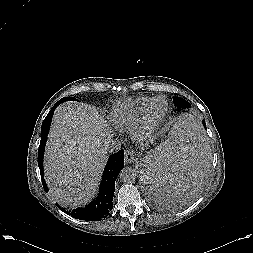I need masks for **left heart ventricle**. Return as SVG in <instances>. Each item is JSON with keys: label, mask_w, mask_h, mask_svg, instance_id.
<instances>
[{"label": "left heart ventricle", "mask_w": 253, "mask_h": 253, "mask_svg": "<svg viewBox=\"0 0 253 253\" xmlns=\"http://www.w3.org/2000/svg\"><path fill=\"white\" fill-rule=\"evenodd\" d=\"M166 110V102L164 99H158L151 107V116L158 118L163 115Z\"/></svg>", "instance_id": "left-heart-ventricle-1"}]
</instances>
